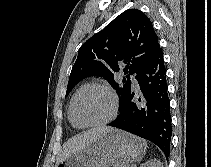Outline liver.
Masks as SVG:
<instances>
[{"label": "liver", "mask_w": 211, "mask_h": 167, "mask_svg": "<svg viewBox=\"0 0 211 167\" xmlns=\"http://www.w3.org/2000/svg\"><path fill=\"white\" fill-rule=\"evenodd\" d=\"M112 129L113 128L111 127L100 126L87 130L86 132L80 135L74 136L64 144L56 164H58L71 154L83 150L85 147H87L100 137L104 136Z\"/></svg>", "instance_id": "obj_1"}]
</instances>
